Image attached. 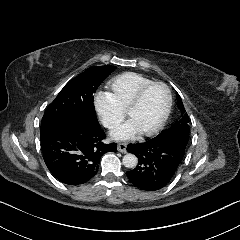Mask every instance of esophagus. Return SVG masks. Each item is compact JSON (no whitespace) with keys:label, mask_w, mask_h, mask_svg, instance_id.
Segmentation results:
<instances>
[{"label":"esophagus","mask_w":240,"mask_h":240,"mask_svg":"<svg viewBox=\"0 0 240 240\" xmlns=\"http://www.w3.org/2000/svg\"><path fill=\"white\" fill-rule=\"evenodd\" d=\"M117 150L121 153H126L127 151V143L122 142L117 145Z\"/></svg>","instance_id":"34e87169"}]
</instances>
